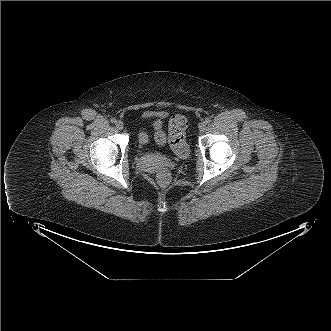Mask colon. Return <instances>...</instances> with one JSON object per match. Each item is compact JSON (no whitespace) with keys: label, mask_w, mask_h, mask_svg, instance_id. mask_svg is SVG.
Here are the masks:
<instances>
[{"label":"colon","mask_w":331,"mask_h":331,"mask_svg":"<svg viewBox=\"0 0 331 331\" xmlns=\"http://www.w3.org/2000/svg\"><path fill=\"white\" fill-rule=\"evenodd\" d=\"M187 129V120L182 115H175L169 121L168 143L173 151L183 157L187 154V143L185 132ZM158 144L165 142V135L158 132L155 136ZM156 181L161 186H168L171 182V175L166 170H160L156 175Z\"/></svg>","instance_id":"1"}]
</instances>
